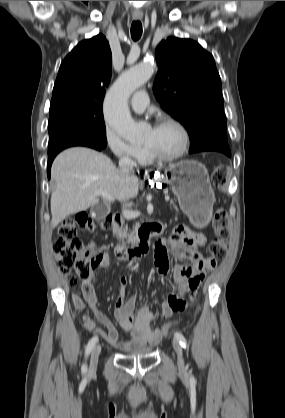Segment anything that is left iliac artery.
I'll use <instances>...</instances> for the list:
<instances>
[{"mask_svg": "<svg viewBox=\"0 0 285 418\" xmlns=\"http://www.w3.org/2000/svg\"><path fill=\"white\" fill-rule=\"evenodd\" d=\"M174 337L180 342V344L183 348H185V349L188 348L187 340L182 333L175 332Z\"/></svg>", "mask_w": 285, "mask_h": 418, "instance_id": "1", "label": "left iliac artery"}]
</instances>
